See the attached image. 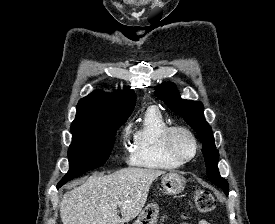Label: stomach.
Segmentation results:
<instances>
[{
	"label": "stomach",
	"mask_w": 275,
	"mask_h": 224,
	"mask_svg": "<svg viewBox=\"0 0 275 224\" xmlns=\"http://www.w3.org/2000/svg\"><path fill=\"white\" fill-rule=\"evenodd\" d=\"M186 181L176 173H169L161 177V188L164 194L176 195L184 190ZM159 207L156 203L148 204L139 214L133 224H156Z\"/></svg>",
	"instance_id": "1"
}]
</instances>
